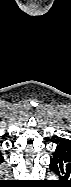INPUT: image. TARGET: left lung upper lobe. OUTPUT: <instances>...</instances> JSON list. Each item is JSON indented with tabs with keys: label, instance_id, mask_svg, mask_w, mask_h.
Instances as JSON below:
<instances>
[{
	"label": "left lung upper lobe",
	"instance_id": "obj_1",
	"mask_svg": "<svg viewBox=\"0 0 71 187\" xmlns=\"http://www.w3.org/2000/svg\"><path fill=\"white\" fill-rule=\"evenodd\" d=\"M59 144L71 146V142H69V141H61Z\"/></svg>",
	"mask_w": 71,
	"mask_h": 187
}]
</instances>
